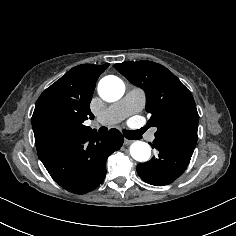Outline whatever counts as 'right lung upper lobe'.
Returning a JSON list of instances; mask_svg holds the SVG:
<instances>
[{
    "label": "right lung upper lobe",
    "mask_w": 236,
    "mask_h": 236,
    "mask_svg": "<svg viewBox=\"0 0 236 236\" xmlns=\"http://www.w3.org/2000/svg\"><path fill=\"white\" fill-rule=\"evenodd\" d=\"M109 66L83 64L68 71L38 98L32 116L36 148L58 138L61 130L82 135L92 131L83 122L90 117V102L100 74Z\"/></svg>",
    "instance_id": "1"
}]
</instances>
